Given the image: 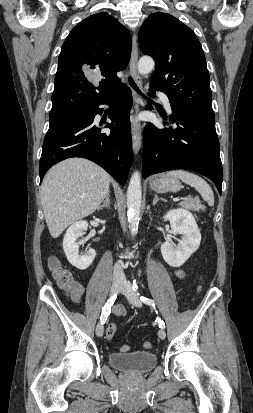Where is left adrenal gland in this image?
I'll list each match as a JSON object with an SVG mask.
<instances>
[{
  "label": "left adrenal gland",
  "instance_id": "left-adrenal-gland-1",
  "mask_svg": "<svg viewBox=\"0 0 253 413\" xmlns=\"http://www.w3.org/2000/svg\"><path fill=\"white\" fill-rule=\"evenodd\" d=\"M159 200L166 202V199H164V198H159V197L157 196V194H154L153 206H155L156 203H157Z\"/></svg>",
  "mask_w": 253,
  "mask_h": 413
}]
</instances>
